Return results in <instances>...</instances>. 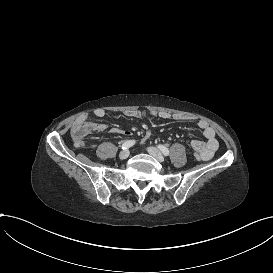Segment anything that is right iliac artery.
<instances>
[{
	"label": "right iliac artery",
	"mask_w": 273,
	"mask_h": 273,
	"mask_svg": "<svg viewBox=\"0 0 273 273\" xmlns=\"http://www.w3.org/2000/svg\"><path fill=\"white\" fill-rule=\"evenodd\" d=\"M134 144H135V141H134V140L125 141V142L122 144V149H123V150H126V149L132 147Z\"/></svg>",
	"instance_id": "obj_1"
}]
</instances>
